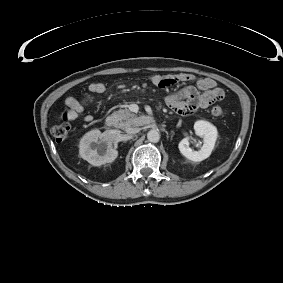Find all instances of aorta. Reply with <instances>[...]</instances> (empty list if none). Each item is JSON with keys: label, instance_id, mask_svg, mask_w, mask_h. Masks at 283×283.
<instances>
[{"label": "aorta", "instance_id": "1", "mask_svg": "<svg viewBox=\"0 0 283 283\" xmlns=\"http://www.w3.org/2000/svg\"><path fill=\"white\" fill-rule=\"evenodd\" d=\"M147 139L149 142L152 143H157L160 140V133L158 130L156 129H151L148 133H147Z\"/></svg>", "mask_w": 283, "mask_h": 283}]
</instances>
